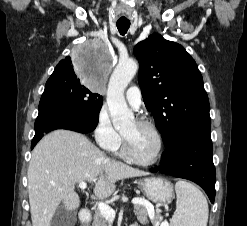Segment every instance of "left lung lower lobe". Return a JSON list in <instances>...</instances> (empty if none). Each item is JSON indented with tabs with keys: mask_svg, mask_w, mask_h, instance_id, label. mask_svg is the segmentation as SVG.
I'll return each mask as SVG.
<instances>
[{
	"mask_svg": "<svg viewBox=\"0 0 247 226\" xmlns=\"http://www.w3.org/2000/svg\"><path fill=\"white\" fill-rule=\"evenodd\" d=\"M165 147L161 165L151 171L194 181L214 203L216 173L212 160L211 122L188 127Z\"/></svg>",
	"mask_w": 247,
	"mask_h": 226,
	"instance_id": "left-lung-lower-lobe-1",
	"label": "left lung lower lobe"
}]
</instances>
